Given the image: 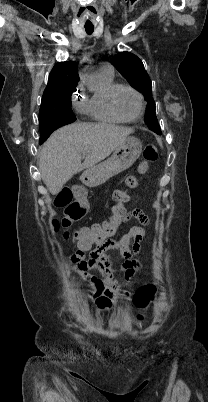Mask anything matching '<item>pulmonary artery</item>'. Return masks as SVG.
<instances>
[{
  "instance_id": "obj_1",
  "label": "pulmonary artery",
  "mask_w": 208,
  "mask_h": 402,
  "mask_svg": "<svg viewBox=\"0 0 208 402\" xmlns=\"http://www.w3.org/2000/svg\"><path fill=\"white\" fill-rule=\"evenodd\" d=\"M94 72L96 74L106 76L108 78L114 77V70L108 63H100V64L94 66Z\"/></svg>"
}]
</instances>
